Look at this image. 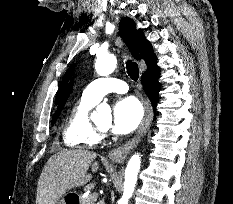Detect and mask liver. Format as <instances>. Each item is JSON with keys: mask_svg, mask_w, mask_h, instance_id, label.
Listing matches in <instances>:
<instances>
[{"mask_svg": "<svg viewBox=\"0 0 233 204\" xmlns=\"http://www.w3.org/2000/svg\"><path fill=\"white\" fill-rule=\"evenodd\" d=\"M96 153L75 149L61 150L49 158L38 179L36 204H56L69 190L81 187L90 181L87 171L99 168L92 162Z\"/></svg>", "mask_w": 233, "mask_h": 204, "instance_id": "6515ba94", "label": "liver"}]
</instances>
